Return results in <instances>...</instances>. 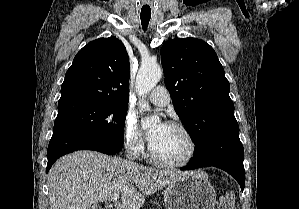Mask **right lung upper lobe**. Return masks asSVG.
Masks as SVG:
<instances>
[{"label": "right lung upper lobe", "instance_id": "1", "mask_svg": "<svg viewBox=\"0 0 299 209\" xmlns=\"http://www.w3.org/2000/svg\"><path fill=\"white\" fill-rule=\"evenodd\" d=\"M129 69V57L119 39L110 37L91 41L76 54L66 72L58 104H128Z\"/></svg>", "mask_w": 299, "mask_h": 209}]
</instances>
